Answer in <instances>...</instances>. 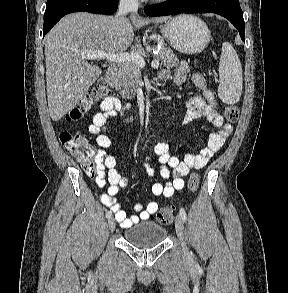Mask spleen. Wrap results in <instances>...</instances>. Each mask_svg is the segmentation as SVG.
Segmentation results:
<instances>
[{
  "mask_svg": "<svg viewBox=\"0 0 288 293\" xmlns=\"http://www.w3.org/2000/svg\"><path fill=\"white\" fill-rule=\"evenodd\" d=\"M219 76V98L227 104L237 103L242 93V67L235 49L228 42L222 45Z\"/></svg>",
  "mask_w": 288,
  "mask_h": 293,
  "instance_id": "spleen-1",
  "label": "spleen"
}]
</instances>
